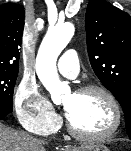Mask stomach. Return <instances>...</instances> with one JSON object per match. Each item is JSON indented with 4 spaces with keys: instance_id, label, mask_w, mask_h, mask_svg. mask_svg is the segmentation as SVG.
Masks as SVG:
<instances>
[{
    "instance_id": "0dacf381",
    "label": "stomach",
    "mask_w": 131,
    "mask_h": 151,
    "mask_svg": "<svg viewBox=\"0 0 131 151\" xmlns=\"http://www.w3.org/2000/svg\"><path fill=\"white\" fill-rule=\"evenodd\" d=\"M71 150L72 151H109V149L106 146L99 143L87 144L80 148H77V149L73 148Z\"/></svg>"
}]
</instances>
